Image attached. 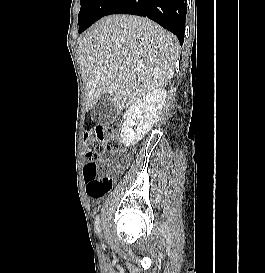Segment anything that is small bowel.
<instances>
[{
  "instance_id": "small-bowel-1",
  "label": "small bowel",
  "mask_w": 265,
  "mask_h": 273,
  "mask_svg": "<svg viewBox=\"0 0 265 273\" xmlns=\"http://www.w3.org/2000/svg\"><path fill=\"white\" fill-rule=\"evenodd\" d=\"M86 128H89V125H86ZM91 198L95 199V200H99L100 198L94 197V196H90Z\"/></svg>"
}]
</instances>
